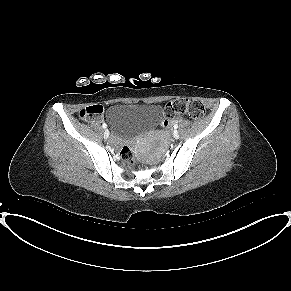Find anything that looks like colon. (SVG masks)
I'll return each instance as SVG.
<instances>
[{
    "label": "colon",
    "instance_id": "obj_1",
    "mask_svg": "<svg viewBox=\"0 0 291 291\" xmlns=\"http://www.w3.org/2000/svg\"><path fill=\"white\" fill-rule=\"evenodd\" d=\"M103 114V109L100 105L87 106L79 112V116L85 120H99ZM176 114H185L193 119L202 118L205 114L203 104L194 99L179 98L168 102L164 108L165 119L162 123L163 127L168 126V120ZM121 159L125 163H132L134 153L128 146H124L120 152Z\"/></svg>",
    "mask_w": 291,
    "mask_h": 291
}]
</instances>
